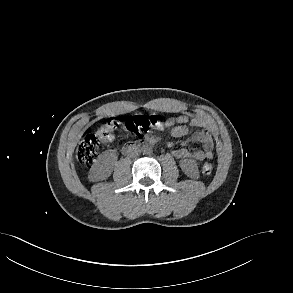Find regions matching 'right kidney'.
<instances>
[{
	"label": "right kidney",
	"mask_w": 293,
	"mask_h": 293,
	"mask_svg": "<svg viewBox=\"0 0 293 293\" xmlns=\"http://www.w3.org/2000/svg\"><path fill=\"white\" fill-rule=\"evenodd\" d=\"M111 174V167L109 163L104 160L103 162H97L91 169L89 179L92 181H99L106 179Z\"/></svg>",
	"instance_id": "ca27d5eb"
}]
</instances>
